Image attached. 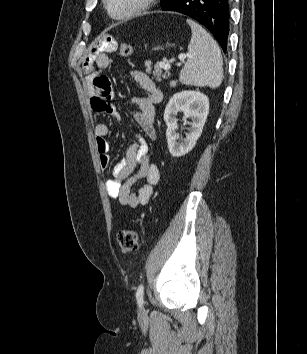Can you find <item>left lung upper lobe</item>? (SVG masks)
Here are the masks:
<instances>
[{
    "label": "left lung upper lobe",
    "instance_id": "left-lung-upper-lobe-1",
    "mask_svg": "<svg viewBox=\"0 0 307 354\" xmlns=\"http://www.w3.org/2000/svg\"><path fill=\"white\" fill-rule=\"evenodd\" d=\"M170 0H161V8L165 7Z\"/></svg>",
    "mask_w": 307,
    "mask_h": 354
}]
</instances>
